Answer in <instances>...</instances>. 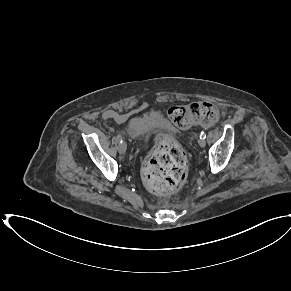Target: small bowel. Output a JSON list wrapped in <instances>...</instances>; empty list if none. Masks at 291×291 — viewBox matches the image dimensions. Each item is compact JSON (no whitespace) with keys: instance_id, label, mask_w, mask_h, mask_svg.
Wrapping results in <instances>:
<instances>
[{"instance_id":"obj_1","label":"small bowel","mask_w":291,"mask_h":291,"mask_svg":"<svg viewBox=\"0 0 291 291\" xmlns=\"http://www.w3.org/2000/svg\"><path fill=\"white\" fill-rule=\"evenodd\" d=\"M103 119L105 120H114L116 122H123L125 116L113 110H106L102 114Z\"/></svg>"}]
</instances>
